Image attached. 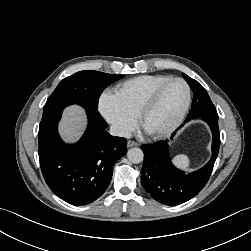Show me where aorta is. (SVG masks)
<instances>
[{
  "instance_id": "762f6f07",
  "label": "aorta",
  "mask_w": 251,
  "mask_h": 251,
  "mask_svg": "<svg viewBox=\"0 0 251 251\" xmlns=\"http://www.w3.org/2000/svg\"><path fill=\"white\" fill-rule=\"evenodd\" d=\"M127 158L131 163L137 164L143 161L144 153L140 148L134 147L128 150Z\"/></svg>"
}]
</instances>
